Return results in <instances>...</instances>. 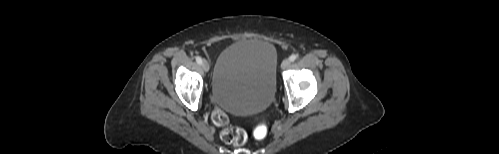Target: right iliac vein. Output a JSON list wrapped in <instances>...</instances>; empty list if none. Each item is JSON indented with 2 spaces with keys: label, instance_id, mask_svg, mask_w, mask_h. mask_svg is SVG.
I'll return each instance as SVG.
<instances>
[{
  "label": "right iliac vein",
  "instance_id": "1",
  "mask_svg": "<svg viewBox=\"0 0 499 154\" xmlns=\"http://www.w3.org/2000/svg\"><path fill=\"white\" fill-rule=\"evenodd\" d=\"M202 68H203V70H204L205 72H208V71H209V69H210V65H209L208 61H207V60H205V59L202 61Z\"/></svg>",
  "mask_w": 499,
  "mask_h": 154
}]
</instances>
